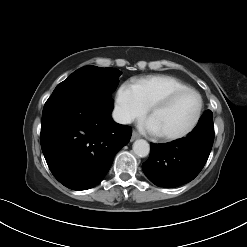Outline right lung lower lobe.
I'll use <instances>...</instances> for the list:
<instances>
[{
	"label": "right lung lower lobe",
	"instance_id": "98d812e1",
	"mask_svg": "<svg viewBox=\"0 0 247 247\" xmlns=\"http://www.w3.org/2000/svg\"><path fill=\"white\" fill-rule=\"evenodd\" d=\"M110 98L97 93L50 97L44 105L41 148L54 177L73 190L97 185L132 134L111 118Z\"/></svg>",
	"mask_w": 247,
	"mask_h": 247
}]
</instances>
